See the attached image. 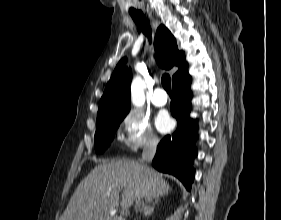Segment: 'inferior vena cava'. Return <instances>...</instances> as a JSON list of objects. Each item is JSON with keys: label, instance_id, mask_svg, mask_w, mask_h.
Wrapping results in <instances>:
<instances>
[{"label": "inferior vena cava", "instance_id": "obj_1", "mask_svg": "<svg viewBox=\"0 0 281 220\" xmlns=\"http://www.w3.org/2000/svg\"><path fill=\"white\" fill-rule=\"evenodd\" d=\"M157 144H158V140L157 139H151L144 151H143V154H142V164L144 165V167L147 169V171L149 170L148 166H147V163H150L152 161V159L154 158L155 156V153H156V147H157ZM145 186H149V181L148 179L145 181ZM143 194V191L141 192V195Z\"/></svg>", "mask_w": 281, "mask_h": 220}]
</instances>
